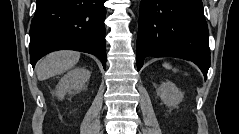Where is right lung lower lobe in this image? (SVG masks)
Instances as JSON below:
<instances>
[{"mask_svg": "<svg viewBox=\"0 0 239 134\" xmlns=\"http://www.w3.org/2000/svg\"><path fill=\"white\" fill-rule=\"evenodd\" d=\"M105 0H37L30 27V61L52 51L76 50L97 56L105 69Z\"/></svg>", "mask_w": 239, "mask_h": 134, "instance_id": "1", "label": "right lung lower lobe"}]
</instances>
